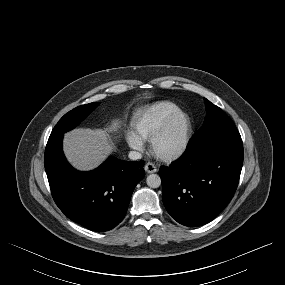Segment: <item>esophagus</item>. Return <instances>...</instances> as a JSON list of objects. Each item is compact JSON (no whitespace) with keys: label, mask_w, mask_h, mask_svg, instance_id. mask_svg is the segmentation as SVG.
Returning <instances> with one entry per match:
<instances>
[{"label":"esophagus","mask_w":285,"mask_h":285,"mask_svg":"<svg viewBox=\"0 0 285 285\" xmlns=\"http://www.w3.org/2000/svg\"><path fill=\"white\" fill-rule=\"evenodd\" d=\"M144 169L147 173H155L157 171L156 165L151 162L146 163Z\"/></svg>","instance_id":"1"}]
</instances>
